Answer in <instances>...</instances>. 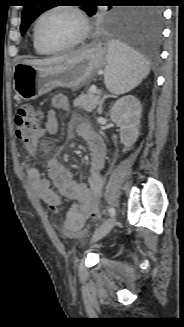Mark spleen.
<instances>
[{
    "mask_svg": "<svg viewBox=\"0 0 184 327\" xmlns=\"http://www.w3.org/2000/svg\"><path fill=\"white\" fill-rule=\"evenodd\" d=\"M105 85L112 94L121 95L138 86L150 72L146 59L127 45L108 42Z\"/></svg>",
    "mask_w": 184,
    "mask_h": 327,
    "instance_id": "3e777b00",
    "label": "spleen"
}]
</instances>
